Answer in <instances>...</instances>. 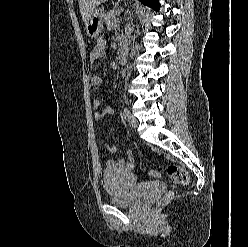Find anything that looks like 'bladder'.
Instances as JSON below:
<instances>
[{
    "label": "bladder",
    "instance_id": "obj_1",
    "mask_svg": "<svg viewBox=\"0 0 248 247\" xmlns=\"http://www.w3.org/2000/svg\"><path fill=\"white\" fill-rule=\"evenodd\" d=\"M103 182L113 205L130 207L141 199V196L137 195L138 183L129 169L120 166L106 169L103 172Z\"/></svg>",
    "mask_w": 248,
    "mask_h": 247
}]
</instances>
